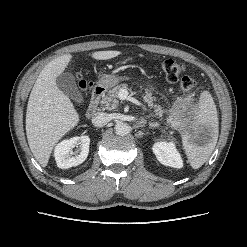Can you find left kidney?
Returning <instances> with one entry per match:
<instances>
[{"instance_id":"1","label":"left kidney","mask_w":247,"mask_h":247,"mask_svg":"<svg viewBox=\"0 0 247 247\" xmlns=\"http://www.w3.org/2000/svg\"><path fill=\"white\" fill-rule=\"evenodd\" d=\"M152 149L161 164L173 168H181L183 166L181 156L173 142H157Z\"/></svg>"}]
</instances>
